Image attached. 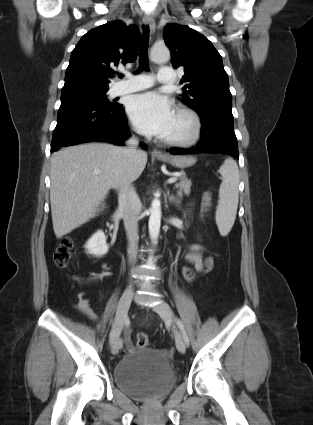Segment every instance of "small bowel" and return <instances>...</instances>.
<instances>
[{
	"label": "small bowel",
	"instance_id": "c3829d8e",
	"mask_svg": "<svg viewBox=\"0 0 313 425\" xmlns=\"http://www.w3.org/2000/svg\"><path fill=\"white\" fill-rule=\"evenodd\" d=\"M209 201L210 195L206 193L204 196V204L208 205ZM185 258L186 261L190 263L197 272L203 273V266L205 260L203 259L201 254L196 252H189L186 254ZM77 308L90 319L94 320L97 318L96 314L90 308V300L85 292H79L77 294Z\"/></svg>",
	"mask_w": 313,
	"mask_h": 425
}]
</instances>
